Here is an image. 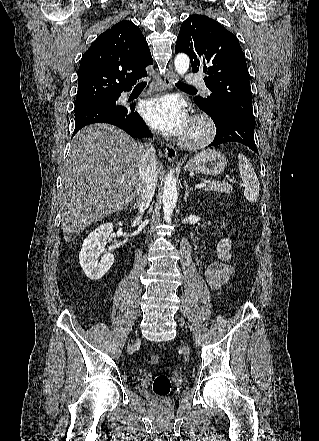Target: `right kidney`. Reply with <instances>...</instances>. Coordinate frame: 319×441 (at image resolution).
<instances>
[{"instance_id":"obj_1","label":"right kidney","mask_w":319,"mask_h":441,"mask_svg":"<svg viewBox=\"0 0 319 441\" xmlns=\"http://www.w3.org/2000/svg\"><path fill=\"white\" fill-rule=\"evenodd\" d=\"M112 232V223L102 224L90 232L83 242L79 262L84 273L91 280L96 281L102 278L114 263V255L110 252L103 255L100 262L97 260L98 256L103 253Z\"/></svg>"}]
</instances>
